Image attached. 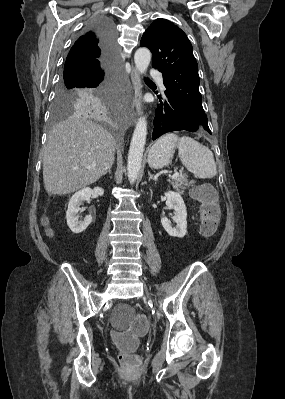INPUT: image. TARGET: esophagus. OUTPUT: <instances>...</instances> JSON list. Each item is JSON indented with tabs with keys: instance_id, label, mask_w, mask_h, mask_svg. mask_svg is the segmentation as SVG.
<instances>
[{
	"instance_id": "1",
	"label": "esophagus",
	"mask_w": 285,
	"mask_h": 399,
	"mask_svg": "<svg viewBox=\"0 0 285 399\" xmlns=\"http://www.w3.org/2000/svg\"><path fill=\"white\" fill-rule=\"evenodd\" d=\"M131 82L134 89V96L132 99L131 107L128 110V120L129 124L133 125L135 123L136 116L140 113L141 110L140 100L142 95L139 74L133 65L131 68Z\"/></svg>"
}]
</instances>
